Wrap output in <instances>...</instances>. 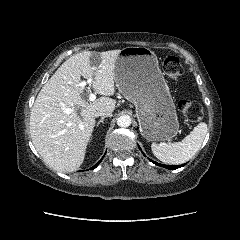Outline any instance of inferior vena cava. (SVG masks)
Wrapping results in <instances>:
<instances>
[{
  "mask_svg": "<svg viewBox=\"0 0 240 240\" xmlns=\"http://www.w3.org/2000/svg\"><path fill=\"white\" fill-rule=\"evenodd\" d=\"M96 117L98 116H108V117H111L112 116V112L110 111H100V112H97L95 114Z\"/></svg>",
  "mask_w": 240,
  "mask_h": 240,
  "instance_id": "inferior-vena-cava-1",
  "label": "inferior vena cava"
}]
</instances>
